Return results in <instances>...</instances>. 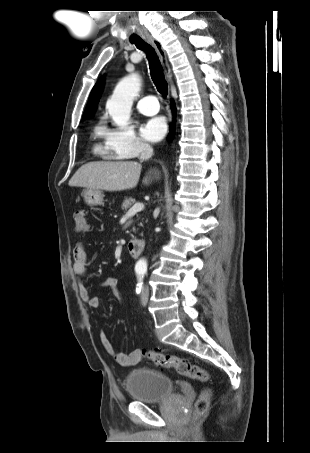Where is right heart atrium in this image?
<instances>
[{
  "label": "right heart atrium",
  "instance_id": "d8ad5b80",
  "mask_svg": "<svg viewBox=\"0 0 310 453\" xmlns=\"http://www.w3.org/2000/svg\"><path fill=\"white\" fill-rule=\"evenodd\" d=\"M100 135L104 140L106 152L115 158L136 157L141 151L148 149L146 144L130 125H103Z\"/></svg>",
  "mask_w": 310,
  "mask_h": 453
}]
</instances>
